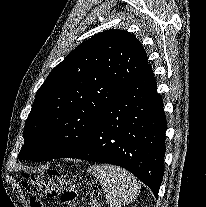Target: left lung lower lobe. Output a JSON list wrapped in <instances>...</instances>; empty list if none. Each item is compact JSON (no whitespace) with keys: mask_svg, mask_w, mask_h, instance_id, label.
<instances>
[{"mask_svg":"<svg viewBox=\"0 0 206 207\" xmlns=\"http://www.w3.org/2000/svg\"><path fill=\"white\" fill-rule=\"evenodd\" d=\"M151 65L109 105L88 142L67 156L123 167L158 197L167 122Z\"/></svg>","mask_w":206,"mask_h":207,"instance_id":"obj_1","label":"left lung lower lobe"}]
</instances>
